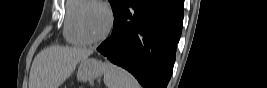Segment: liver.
<instances>
[{
	"label": "liver",
	"mask_w": 267,
	"mask_h": 88,
	"mask_svg": "<svg viewBox=\"0 0 267 88\" xmlns=\"http://www.w3.org/2000/svg\"><path fill=\"white\" fill-rule=\"evenodd\" d=\"M93 53L78 47L51 46L41 51L32 63L29 88H58L76 65Z\"/></svg>",
	"instance_id": "6515ba94"
}]
</instances>
